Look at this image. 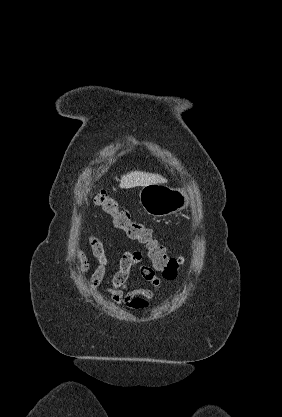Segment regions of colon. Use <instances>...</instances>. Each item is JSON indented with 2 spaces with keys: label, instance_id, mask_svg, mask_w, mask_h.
<instances>
[{
  "label": "colon",
  "instance_id": "obj_1",
  "mask_svg": "<svg viewBox=\"0 0 282 417\" xmlns=\"http://www.w3.org/2000/svg\"><path fill=\"white\" fill-rule=\"evenodd\" d=\"M94 201L111 217L116 228L123 230L127 237L146 247L153 268L167 279H173L181 267L179 259L169 256L165 248L154 237L153 230L141 222L133 220L128 211L122 209L109 192L95 186L92 190Z\"/></svg>",
  "mask_w": 282,
  "mask_h": 417
}]
</instances>
